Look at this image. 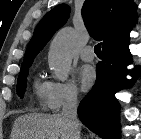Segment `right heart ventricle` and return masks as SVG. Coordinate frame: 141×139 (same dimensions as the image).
I'll use <instances>...</instances> for the list:
<instances>
[{
  "instance_id": "right-heart-ventricle-1",
  "label": "right heart ventricle",
  "mask_w": 141,
  "mask_h": 139,
  "mask_svg": "<svg viewBox=\"0 0 141 139\" xmlns=\"http://www.w3.org/2000/svg\"><path fill=\"white\" fill-rule=\"evenodd\" d=\"M34 94L40 103L45 104L47 94V83L40 80L34 82Z\"/></svg>"
}]
</instances>
